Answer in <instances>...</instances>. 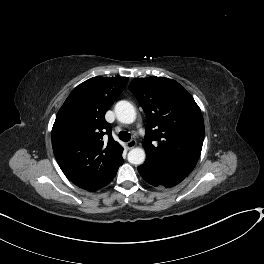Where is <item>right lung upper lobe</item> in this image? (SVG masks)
I'll list each match as a JSON object with an SVG mask.
<instances>
[{"label": "right lung upper lobe", "instance_id": "obj_1", "mask_svg": "<svg viewBox=\"0 0 264 264\" xmlns=\"http://www.w3.org/2000/svg\"><path fill=\"white\" fill-rule=\"evenodd\" d=\"M127 82V77L90 78L70 93L57 114L53 152L65 176L80 188L95 191L104 187L123 164V148L113 140L104 116Z\"/></svg>", "mask_w": 264, "mask_h": 264}]
</instances>
